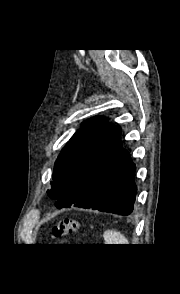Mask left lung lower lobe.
Returning a JSON list of instances; mask_svg holds the SVG:
<instances>
[{
    "label": "left lung lower lobe",
    "instance_id": "0a47b994",
    "mask_svg": "<svg viewBox=\"0 0 180 294\" xmlns=\"http://www.w3.org/2000/svg\"><path fill=\"white\" fill-rule=\"evenodd\" d=\"M116 126L77 177L57 208L81 207L119 215H130L137 192L135 164L120 140Z\"/></svg>",
    "mask_w": 180,
    "mask_h": 294
}]
</instances>
